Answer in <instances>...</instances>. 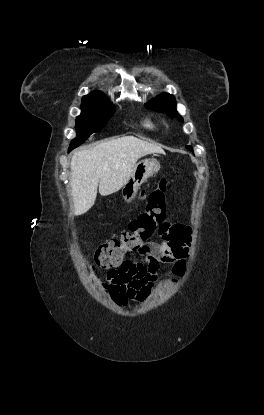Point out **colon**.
I'll use <instances>...</instances> for the list:
<instances>
[{
  "label": "colon",
  "mask_w": 264,
  "mask_h": 415,
  "mask_svg": "<svg viewBox=\"0 0 264 415\" xmlns=\"http://www.w3.org/2000/svg\"><path fill=\"white\" fill-rule=\"evenodd\" d=\"M166 191L167 181L161 178L156 189L149 197L144 212L132 218L127 229L119 235L102 243L95 252L94 265L101 270H117L124 268L128 256L136 254L144 243L154 235L166 236L171 230L170 223L166 221ZM182 274V265L178 264L172 276V282ZM116 300H124L125 290L122 289L114 295Z\"/></svg>",
  "instance_id": "1"
}]
</instances>
